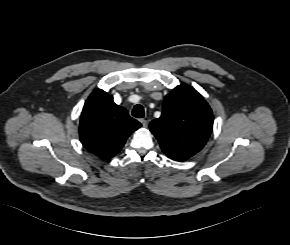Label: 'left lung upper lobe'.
Masks as SVG:
<instances>
[{"label": "left lung upper lobe", "mask_w": 290, "mask_h": 245, "mask_svg": "<svg viewBox=\"0 0 290 245\" xmlns=\"http://www.w3.org/2000/svg\"><path fill=\"white\" fill-rule=\"evenodd\" d=\"M213 126L212 110L191 86L181 84L164 98L163 112L149 127L162 151L171 159L184 161L206 144Z\"/></svg>", "instance_id": "1"}]
</instances>
